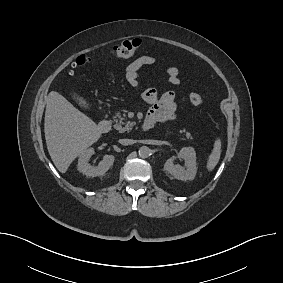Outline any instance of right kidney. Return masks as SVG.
I'll return each instance as SVG.
<instances>
[{"instance_id": "1", "label": "right kidney", "mask_w": 283, "mask_h": 283, "mask_svg": "<svg viewBox=\"0 0 283 283\" xmlns=\"http://www.w3.org/2000/svg\"><path fill=\"white\" fill-rule=\"evenodd\" d=\"M95 153L93 148L84 150L78 159V171L90 177L103 176L113 165L115 157L113 155H105L103 160L97 165L89 164V159Z\"/></svg>"}]
</instances>
